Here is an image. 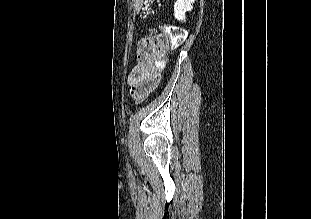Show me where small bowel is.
<instances>
[{"mask_svg":"<svg viewBox=\"0 0 311 219\" xmlns=\"http://www.w3.org/2000/svg\"><path fill=\"white\" fill-rule=\"evenodd\" d=\"M130 93L136 100L146 98L159 84L157 75H150L146 70L138 71L134 68L128 79Z\"/></svg>","mask_w":311,"mask_h":219,"instance_id":"small-bowel-1","label":"small bowel"}]
</instances>
